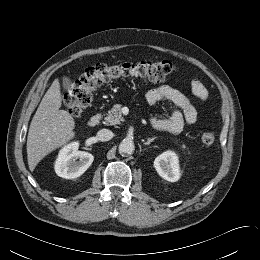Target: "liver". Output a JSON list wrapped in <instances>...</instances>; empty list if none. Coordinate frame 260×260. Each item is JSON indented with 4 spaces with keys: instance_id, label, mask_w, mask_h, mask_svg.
<instances>
[{
    "instance_id": "1",
    "label": "liver",
    "mask_w": 260,
    "mask_h": 260,
    "mask_svg": "<svg viewBox=\"0 0 260 260\" xmlns=\"http://www.w3.org/2000/svg\"><path fill=\"white\" fill-rule=\"evenodd\" d=\"M59 80L55 79L44 95L29 127L27 159L30 171L53 150L74 138L75 121L71 114L60 110Z\"/></svg>"
}]
</instances>
